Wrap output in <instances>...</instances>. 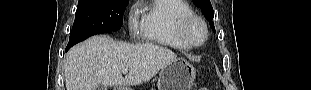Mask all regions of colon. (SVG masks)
Instances as JSON below:
<instances>
[{
    "label": "colon",
    "instance_id": "1",
    "mask_svg": "<svg viewBox=\"0 0 311 90\" xmlns=\"http://www.w3.org/2000/svg\"><path fill=\"white\" fill-rule=\"evenodd\" d=\"M200 90H207V88H201Z\"/></svg>",
    "mask_w": 311,
    "mask_h": 90
}]
</instances>
